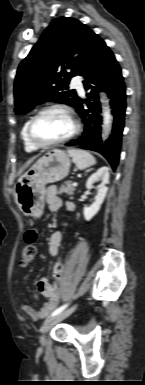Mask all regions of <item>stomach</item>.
<instances>
[{"instance_id": "obj_1", "label": "stomach", "mask_w": 145, "mask_h": 385, "mask_svg": "<svg viewBox=\"0 0 145 385\" xmlns=\"http://www.w3.org/2000/svg\"><path fill=\"white\" fill-rule=\"evenodd\" d=\"M65 151L53 149L41 157L15 185V202L27 216L41 217L44 209L45 186L64 179L70 169Z\"/></svg>"}]
</instances>
